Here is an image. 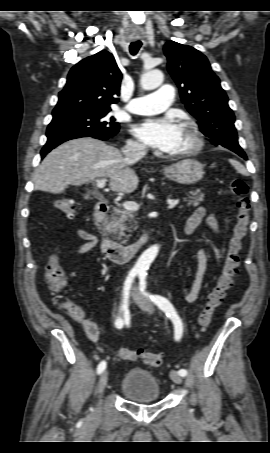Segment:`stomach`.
<instances>
[{
  "label": "stomach",
  "instance_id": "stomach-1",
  "mask_svg": "<svg viewBox=\"0 0 270 453\" xmlns=\"http://www.w3.org/2000/svg\"><path fill=\"white\" fill-rule=\"evenodd\" d=\"M164 174L179 184L192 185L199 182L204 175L203 165L195 159H184L166 166Z\"/></svg>",
  "mask_w": 270,
  "mask_h": 453
}]
</instances>
